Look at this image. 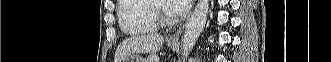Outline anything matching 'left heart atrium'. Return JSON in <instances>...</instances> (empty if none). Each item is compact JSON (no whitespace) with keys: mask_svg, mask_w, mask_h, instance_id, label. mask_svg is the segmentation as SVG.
I'll list each match as a JSON object with an SVG mask.
<instances>
[{"mask_svg":"<svg viewBox=\"0 0 331 62\" xmlns=\"http://www.w3.org/2000/svg\"><path fill=\"white\" fill-rule=\"evenodd\" d=\"M191 0H168L166 9L173 15L184 14L190 6Z\"/></svg>","mask_w":331,"mask_h":62,"instance_id":"39dd6f15","label":"left heart atrium"}]
</instances>
